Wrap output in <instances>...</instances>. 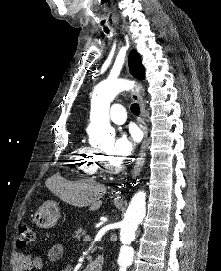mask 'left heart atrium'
I'll return each instance as SVG.
<instances>
[{"label":"left heart atrium","mask_w":221,"mask_h":271,"mask_svg":"<svg viewBox=\"0 0 221 271\" xmlns=\"http://www.w3.org/2000/svg\"><path fill=\"white\" fill-rule=\"evenodd\" d=\"M141 138V132L134 129L122 133L121 142H112L111 157H131Z\"/></svg>","instance_id":"left-heart-atrium-1"}]
</instances>
